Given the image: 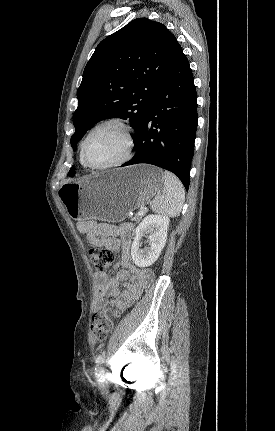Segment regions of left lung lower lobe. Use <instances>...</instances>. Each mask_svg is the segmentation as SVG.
I'll return each mask as SVG.
<instances>
[{"label":"left lung lower lobe","mask_w":275,"mask_h":431,"mask_svg":"<svg viewBox=\"0 0 275 431\" xmlns=\"http://www.w3.org/2000/svg\"><path fill=\"white\" fill-rule=\"evenodd\" d=\"M197 118L192 70L181 48L134 139L137 152L122 166L156 165L177 175L188 190Z\"/></svg>","instance_id":"obj_1"}]
</instances>
